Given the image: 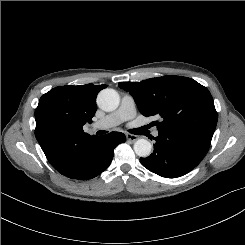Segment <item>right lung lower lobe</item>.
Wrapping results in <instances>:
<instances>
[{
  "mask_svg": "<svg viewBox=\"0 0 245 245\" xmlns=\"http://www.w3.org/2000/svg\"><path fill=\"white\" fill-rule=\"evenodd\" d=\"M125 140V135L120 132L97 136L74 150L68 162L55 169L71 179H92L108 168L114 148Z\"/></svg>",
  "mask_w": 245,
  "mask_h": 245,
  "instance_id": "obj_1",
  "label": "right lung lower lobe"
}]
</instances>
